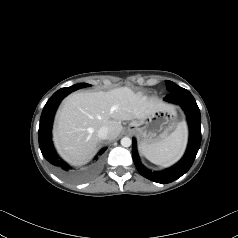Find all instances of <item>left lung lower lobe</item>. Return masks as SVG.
I'll list each match as a JSON object with an SVG mask.
<instances>
[{
  "mask_svg": "<svg viewBox=\"0 0 238 238\" xmlns=\"http://www.w3.org/2000/svg\"><path fill=\"white\" fill-rule=\"evenodd\" d=\"M164 99L166 101L179 104L187 115L190 138L184 157L175 166L165 171L151 172L150 170H147L139 160L136 149V140L133 139L132 142L133 161L139 173L145 178L161 184L173 182L184 175L192 166L201 144L200 110L192 94L188 90L180 87L172 92H169Z\"/></svg>",
  "mask_w": 238,
  "mask_h": 238,
  "instance_id": "obj_1",
  "label": "left lung lower lobe"
}]
</instances>
